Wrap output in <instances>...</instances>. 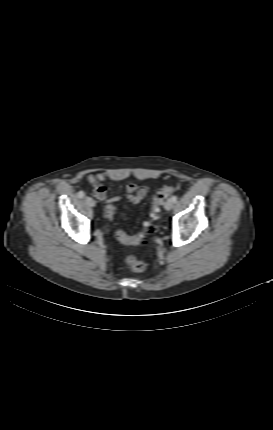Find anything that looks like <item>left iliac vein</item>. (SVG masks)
<instances>
[{"label": "left iliac vein", "instance_id": "1", "mask_svg": "<svg viewBox=\"0 0 273 430\" xmlns=\"http://www.w3.org/2000/svg\"><path fill=\"white\" fill-rule=\"evenodd\" d=\"M173 206H174V202L172 201V199L170 198V199H168L166 202H165V205H164V207H165V209L166 210H171L172 208H173Z\"/></svg>", "mask_w": 273, "mask_h": 430}]
</instances>
